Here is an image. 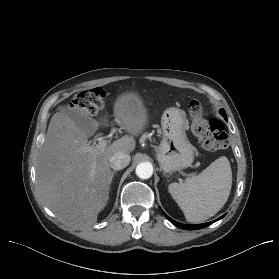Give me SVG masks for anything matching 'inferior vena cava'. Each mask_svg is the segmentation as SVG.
<instances>
[{
	"instance_id": "obj_1",
	"label": "inferior vena cava",
	"mask_w": 279,
	"mask_h": 279,
	"mask_svg": "<svg viewBox=\"0 0 279 279\" xmlns=\"http://www.w3.org/2000/svg\"><path fill=\"white\" fill-rule=\"evenodd\" d=\"M130 160L131 158L128 153L123 151L116 152L109 158L110 167L114 170H121L128 166Z\"/></svg>"
}]
</instances>
